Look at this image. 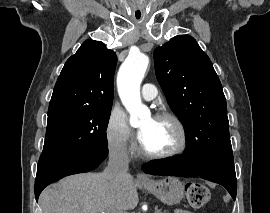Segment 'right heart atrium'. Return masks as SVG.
Returning a JSON list of instances; mask_svg holds the SVG:
<instances>
[{
  "label": "right heart atrium",
  "instance_id": "obj_1",
  "mask_svg": "<svg viewBox=\"0 0 270 213\" xmlns=\"http://www.w3.org/2000/svg\"><path fill=\"white\" fill-rule=\"evenodd\" d=\"M108 150L115 156L129 158L135 151L131 130L125 113L119 108H113L105 128Z\"/></svg>",
  "mask_w": 270,
  "mask_h": 213
}]
</instances>
